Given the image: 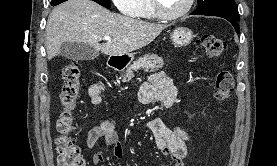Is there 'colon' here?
<instances>
[{
	"instance_id": "1",
	"label": "colon",
	"mask_w": 277,
	"mask_h": 166,
	"mask_svg": "<svg viewBox=\"0 0 277 166\" xmlns=\"http://www.w3.org/2000/svg\"><path fill=\"white\" fill-rule=\"evenodd\" d=\"M197 45L209 58H216L227 51V43L214 35H202ZM81 71L77 61L70 60L62 70L63 86L60 94L62 111L57 120L56 139L59 166H85L80 149L72 137L74 131L73 112L80 94ZM234 87L233 75L228 70L219 71L214 79V97L218 103L225 102Z\"/></svg>"
}]
</instances>
